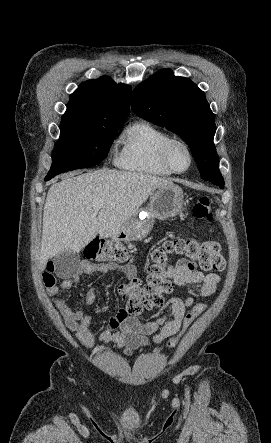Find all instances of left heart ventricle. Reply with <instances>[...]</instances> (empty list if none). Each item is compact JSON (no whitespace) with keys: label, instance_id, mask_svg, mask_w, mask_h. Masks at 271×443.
<instances>
[{"label":"left heart ventricle","instance_id":"left-heart-ventricle-1","mask_svg":"<svg viewBox=\"0 0 271 443\" xmlns=\"http://www.w3.org/2000/svg\"><path fill=\"white\" fill-rule=\"evenodd\" d=\"M169 154L171 162L176 169L185 170L190 166V154L181 143H174L170 148Z\"/></svg>","mask_w":271,"mask_h":443}]
</instances>
